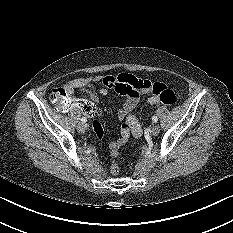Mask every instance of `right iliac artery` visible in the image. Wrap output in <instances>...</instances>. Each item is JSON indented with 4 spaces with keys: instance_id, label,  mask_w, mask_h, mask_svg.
Segmentation results:
<instances>
[{
    "instance_id": "obj_1",
    "label": "right iliac artery",
    "mask_w": 233,
    "mask_h": 233,
    "mask_svg": "<svg viewBox=\"0 0 233 233\" xmlns=\"http://www.w3.org/2000/svg\"><path fill=\"white\" fill-rule=\"evenodd\" d=\"M81 121H82L83 123H85V122H87V119H86L85 117H82V118H81Z\"/></svg>"
}]
</instances>
